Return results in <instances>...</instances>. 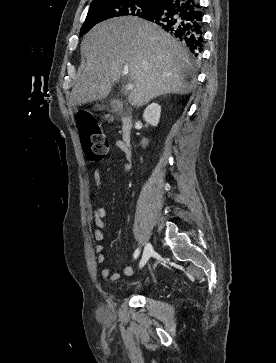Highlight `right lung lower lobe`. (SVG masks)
I'll return each mask as SVG.
<instances>
[{
    "mask_svg": "<svg viewBox=\"0 0 276 363\" xmlns=\"http://www.w3.org/2000/svg\"><path fill=\"white\" fill-rule=\"evenodd\" d=\"M199 0H163L146 20L174 35L198 57L203 46Z\"/></svg>",
    "mask_w": 276,
    "mask_h": 363,
    "instance_id": "right-lung-lower-lobe-1",
    "label": "right lung lower lobe"
}]
</instances>
